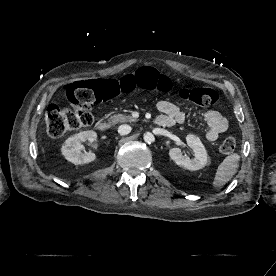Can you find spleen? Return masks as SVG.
<instances>
[{
    "instance_id": "1",
    "label": "spleen",
    "mask_w": 276,
    "mask_h": 276,
    "mask_svg": "<svg viewBox=\"0 0 276 276\" xmlns=\"http://www.w3.org/2000/svg\"><path fill=\"white\" fill-rule=\"evenodd\" d=\"M240 156L231 154L227 156L218 166L212 186L215 189L222 188L238 170Z\"/></svg>"
}]
</instances>
